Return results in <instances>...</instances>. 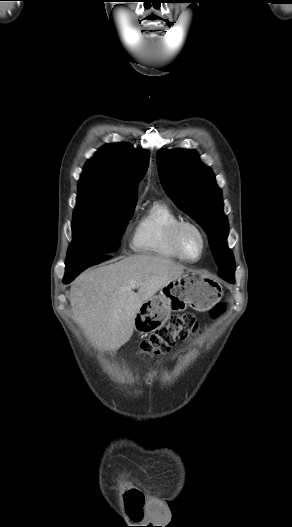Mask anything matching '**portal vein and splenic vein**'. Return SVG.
Wrapping results in <instances>:
<instances>
[{"label": "portal vein and splenic vein", "instance_id": "1", "mask_svg": "<svg viewBox=\"0 0 292 527\" xmlns=\"http://www.w3.org/2000/svg\"><path fill=\"white\" fill-rule=\"evenodd\" d=\"M137 286H138V285H137L136 283H134V282L131 283V287H132V288H135V287H137Z\"/></svg>", "mask_w": 292, "mask_h": 527}]
</instances>
